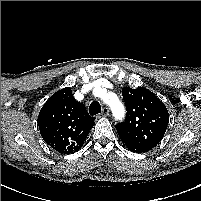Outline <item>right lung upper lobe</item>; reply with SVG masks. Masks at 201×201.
Wrapping results in <instances>:
<instances>
[{"mask_svg": "<svg viewBox=\"0 0 201 201\" xmlns=\"http://www.w3.org/2000/svg\"><path fill=\"white\" fill-rule=\"evenodd\" d=\"M44 141L61 154L78 151L94 126L83 104L77 102L71 88L52 95L41 108L37 120Z\"/></svg>", "mask_w": 201, "mask_h": 201, "instance_id": "obj_1", "label": "right lung upper lobe"}]
</instances>
